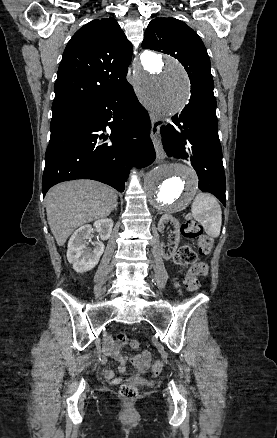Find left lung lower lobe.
<instances>
[{"label":"left lung lower lobe","mask_w":277,"mask_h":438,"mask_svg":"<svg viewBox=\"0 0 277 438\" xmlns=\"http://www.w3.org/2000/svg\"><path fill=\"white\" fill-rule=\"evenodd\" d=\"M178 128L161 127L164 150L169 157L187 159L199 177V189L214 194L224 206L225 173L218 137L216 99H190L180 115L172 118ZM180 122L183 125H180Z\"/></svg>","instance_id":"obj_1"}]
</instances>
